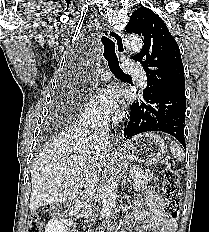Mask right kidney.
Here are the masks:
<instances>
[{
    "label": "right kidney",
    "mask_w": 209,
    "mask_h": 232,
    "mask_svg": "<svg viewBox=\"0 0 209 232\" xmlns=\"http://www.w3.org/2000/svg\"><path fill=\"white\" fill-rule=\"evenodd\" d=\"M45 232H68V228L65 224L58 221V219L53 218L46 225Z\"/></svg>",
    "instance_id": "right-kidney-1"
}]
</instances>
